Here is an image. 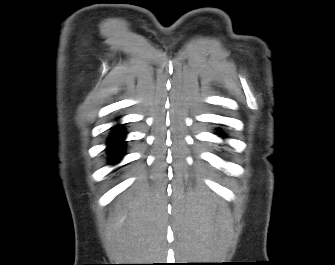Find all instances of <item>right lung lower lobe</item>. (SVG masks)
Wrapping results in <instances>:
<instances>
[{
    "instance_id": "obj_1",
    "label": "right lung lower lobe",
    "mask_w": 335,
    "mask_h": 265,
    "mask_svg": "<svg viewBox=\"0 0 335 265\" xmlns=\"http://www.w3.org/2000/svg\"><path fill=\"white\" fill-rule=\"evenodd\" d=\"M124 139L125 133L121 125L114 126L113 132L107 142V149L111 154V163H116L123 157L125 144Z\"/></svg>"
}]
</instances>
